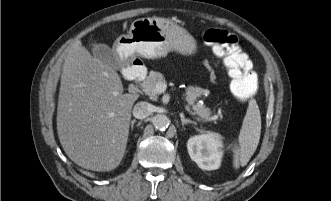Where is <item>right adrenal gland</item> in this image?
Instances as JSON below:
<instances>
[{
	"label": "right adrenal gland",
	"instance_id": "obj_1",
	"mask_svg": "<svg viewBox=\"0 0 331 201\" xmlns=\"http://www.w3.org/2000/svg\"><path fill=\"white\" fill-rule=\"evenodd\" d=\"M136 123V120L134 119V120H132L131 121V129L133 130V128H134V124Z\"/></svg>",
	"mask_w": 331,
	"mask_h": 201
}]
</instances>
